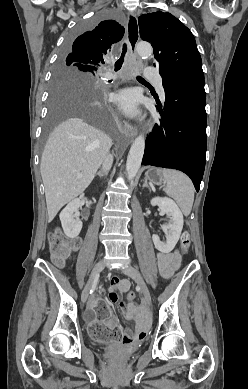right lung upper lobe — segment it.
Here are the masks:
<instances>
[{
	"instance_id": "1",
	"label": "right lung upper lobe",
	"mask_w": 248,
	"mask_h": 389,
	"mask_svg": "<svg viewBox=\"0 0 248 389\" xmlns=\"http://www.w3.org/2000/svg\"><path fill=\"white\" fill-rule=\"evenodd\" d=\"M124 27L114 20L100 22L94 29L80 35L68 48L63 64L69 67H87L97 72L103 57L124 35Z\"/></svg>"
}]
</instances>
